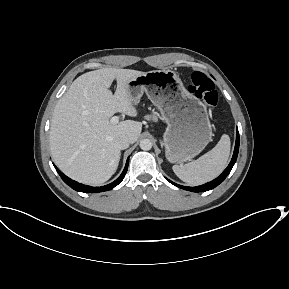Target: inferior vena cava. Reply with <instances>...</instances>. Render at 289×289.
Here are the masks:
<instances>
[{"label": "inferior vena cava", "instance_id": "inferior-vena-cava-1", "mask_svg": "<svg viewBox=\"0 0 289 289\" xmlns=\"http://www.w3.org/2000/svg\"><path fill=\"white\" fill-rule=\"evenodd\" d=\"M131 141L128 137H120L117 139L116 145L119 149L123 150L129 147Z\"/></svg>", "mask_w": 289, "mask_h": 289}]
</instances>
